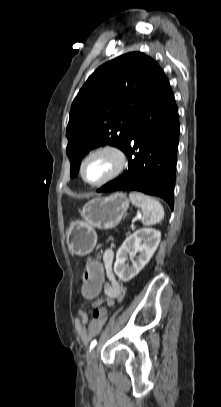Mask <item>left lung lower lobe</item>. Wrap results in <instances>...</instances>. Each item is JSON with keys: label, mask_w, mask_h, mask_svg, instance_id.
<instances>
[{"label": "left lung lower lobe", "mask_w": 221, "mask_h": 407, "mask_svg": "<svg viewBox=\"0 0 221 407\" xmlns=\"http://www.w3.org/2000/svg\"><path fill=\"white\" fill-rule=\"evenodd\" d=\"M179 132L178 109L165 76L130 129L123 149L128 169L97 191L136 190L163 198L173 209Z\"/></svg>", "instance_id": "0a47b994"}]
</instances>
